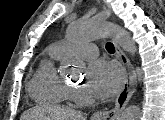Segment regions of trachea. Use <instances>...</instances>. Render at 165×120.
I'll return each mask as SVG.
<instances>
[{
	"label": "trachea",
	"instance_id": "1",
	"mask_svg": "<svg viewBox=\"0 0 165 120\" xmlns=\"http://www.w3.org/2000/svg\"><path fill=\"white\" fill-rule=\"evenodd\" d=\"M106 50L109 53H114L115 52V47L111 42L106 43Z\"/></svg>",
	"mask_w": 165,
	"mask_h": 120
}]
</instances>
